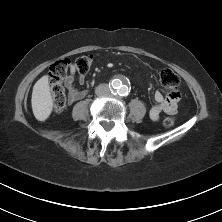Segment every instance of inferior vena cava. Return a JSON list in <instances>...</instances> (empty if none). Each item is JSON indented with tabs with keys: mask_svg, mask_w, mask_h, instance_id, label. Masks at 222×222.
<instances>
[{
	"mask_svg": "<svg viewBox=\"0 0 222 222\" xmlns=\"http://www.w3.org/2000/svg\"><path fill=\"white\" fill-rule=\"evenodd\" d=\"M111 88L107 84H100L96 87L95 93L100 97H107L110 95Z\"/></svg>",
	"mask_w": 222,
	"mask_h": 222,
	"instance_id": "inferior-vena-cava-1",
	"label": "inferior vena cava"
}]
</instances>
